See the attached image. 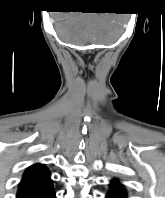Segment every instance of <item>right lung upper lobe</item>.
Returning a JSON list of instances; mask_svg holds the SVG:
<instances>
[{
    "mask_svg": "<svg viewBox=\"0 0 165 198\" xmlns=\"http://www.w3.org/2000/svg\"><path fill=\"white\" fill-rule=\"evenodd\" d=\"M52 186L48 169L42 164H34L24 173L19 184L17 198H29Z\"/></svg>",
    "mask_w": 165,
    "mask_h": 198,
    "instance_id": "right-lung-upper-lobe-1",
    "label": "right lung upper lobe"
}]
</instances>
